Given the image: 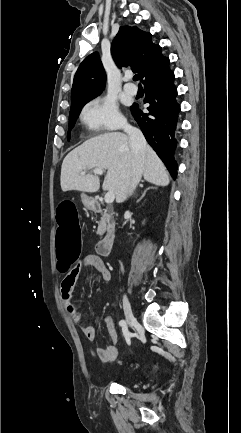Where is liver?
<instances>
[{"label":"liver","instance_id":"1","mask_svg":"<svg viewBox=\"0 0 241 433\" xmlns=\"http://www.w3.org/2000/svg\"><path fill=\"white\" fill-rule=\"evenodd\" d=\"M132 152L129 137L120 132L105 133L85 141L64 158L60 183L63 192L78 190L94 193L100 188L99 177L85 170L106 169L103 190L115 194L116 202H123L129 193L132 171ZM142 175L158 186L169 184V174L153 151L146 145Z\"/></svg>","mask_w":241,"mask_h":433}]
</instances>
